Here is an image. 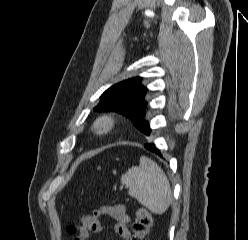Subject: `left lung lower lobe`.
<instances>
[{
  "label": "left lung lower lobe",
  "instance_id": "left-lung-lower-lobe-1",
  "mask_svg": "<svg viewBox=\"0 0 248 240\" xmlns=\"http://www.w3.org/2000/svg\"><path fill=\"white\" fill-rule=\"evenodd\" d=\"M150 132H151V130H150ZM150 132H149L148 136L150 135ZM144 147H145L147 150H149V151H151V152H153V153H156V154H158L159 156H161L160 150L156 148V146H155L154 143H146V144L144 145Z\"/></svg>",
  "mask_w": 248,
  "mask_h": 240
}]
</instances>
